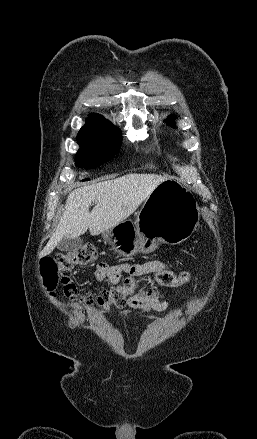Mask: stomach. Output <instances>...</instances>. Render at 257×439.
Here are the masks:
<instances>
[{
    "instance_id": "1",
    "label": "stomach",
    "mask_w": 257,
    "mask_h": 439,
    "mask_svg": "<svg viewBox=\"0 0 257 439\" xmlns=\"http://www.w3.org/2000/svg\"><path fill=\"white\" fill-rule=\"evenodd\" d=\"M200 208L193 193L174 179L161 182L146 198L135 221L124 220L102 233L124 257L151 253L161 242L180 244L196 230Z\"/></svg>"
}]
</instances>
